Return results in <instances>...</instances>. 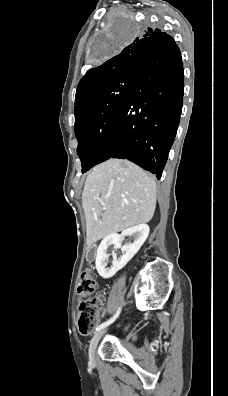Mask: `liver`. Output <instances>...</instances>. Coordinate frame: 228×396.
<instances>
[{
	"label": "liver",
	"mask_w": 228,
	"mask_h": 396,
	"mask_svg": "<svg viewBox=\"0 0 228 396\" xmlns=\"http://www.w3.org/2000/svg\"><path fill=\"white\" fill-rule=\"evenodd\" d=\"M82 206L91 246L110 234L149 222L156 207V183L134 163L110 159L88 174Z\"/></svg>",
	"instance_id": "1"
}]
</instances>
